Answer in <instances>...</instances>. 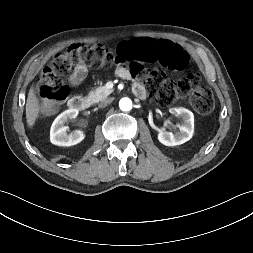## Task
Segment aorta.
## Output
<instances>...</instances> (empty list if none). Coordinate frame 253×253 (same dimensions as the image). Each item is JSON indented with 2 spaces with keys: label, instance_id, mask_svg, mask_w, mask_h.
<instances>
[{
  "label": "aorta",
  "instance_id": "obj_1",
  "mask_svg": "<svg viewBox=\"0 0 253 253\" xmlns=\"http://www.w3.org/2000/svg\"><path fill=\"white\" fill-rule=\"evenodd\" d=\"M119 107L122 111H130L132 109V101L129 98H122L119 101Z\"/></svg>",
  "mask_w": 253,
  "mask_h": 253
}]
</instances>
